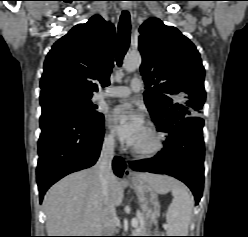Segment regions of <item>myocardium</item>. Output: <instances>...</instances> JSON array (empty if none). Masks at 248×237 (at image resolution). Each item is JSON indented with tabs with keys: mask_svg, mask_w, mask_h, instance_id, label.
I'll return each instance as SVG.
<instances>
[{
	"mask_svg": "<svg viewBox=\"0 0 248 237\" xmlns=\"http://www.w3.org/2000/svg\"><path fill=\"white\" fill-rule=\"evenodd\" d=\"M146 129L153 138L152 146L144 149L133 147L132 149V153L135 156L143 159L155 157L164 149V138L158 128L153 125H149Z\"/></svg>",
	"mask_w": 248,
	"mask_h": 237,
	"instance_id": "myocardium-1",
	"label": "myocardium"
}]
</instances>
